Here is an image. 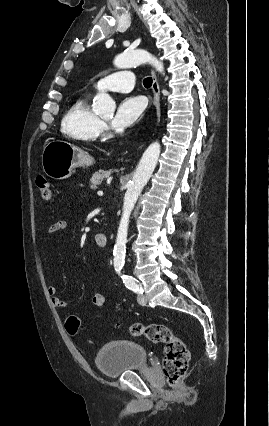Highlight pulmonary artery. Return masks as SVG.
I'll return each instance as SVG.
<instances>
[{"label": "pulmonary artery", "mask_w": 269, "mask_h": 426, "mask_svg": "<svg viewBox=\"0 0 269 426\" xmlns=\"http://www.w3.org/2000/svg\"><path fill=\"white\" fill-rule=\"evenodd\" d=\"M136 76L132 70H123L101 78L96 83L100 91L111 90L117 92H129L133 89Z\"/></svg>", "instance_id": "e3ab8cb5"}]
</instances>
